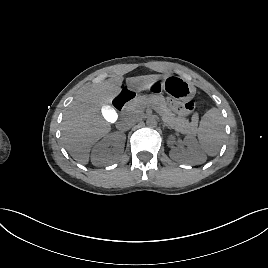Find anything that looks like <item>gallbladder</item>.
<instances>
[{
  "mask_svg": "<svg viewBox=\"0 0 268 268\" xmlns=\"http://www.w3.org/2000/svg\"><path fill=\"white\" fill-rule=\"evenodd\" d=\"M100 113L102 117L110 123H115L119 119L118 111L109 104L102 106Z\"/></svg>",
  "mask_w": 268,
  "mask_h": 268,
  "instance_id": "gallbladder-1",
  "label": "gallbladder"
}]
</instances>
